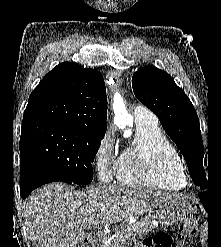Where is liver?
Here are the masks:
<instances>
[{"instance_id":"1","label":"liver","mask_w":221,"mask_h":247,"mask_svg":"<svg viewBox=\"0 0 221 247\" xmlns=\"http://www.w3.org/2000/svg\"><path fill=\"white\" fill-rule=\"evenodd\" d=\"M180 197L137 186H102L76 192L62 183L37 189L23 202L27 226L40 247H76L86 229L115 224Z\"/></svg>"}]
</instances>
